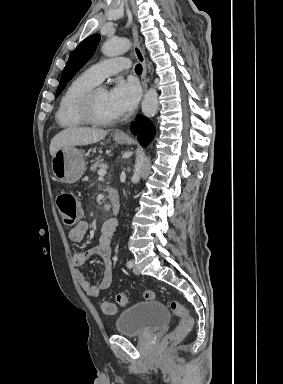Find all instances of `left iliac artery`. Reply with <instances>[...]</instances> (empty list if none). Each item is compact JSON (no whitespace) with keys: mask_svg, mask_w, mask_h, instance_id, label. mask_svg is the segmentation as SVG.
I'll return each instance as SVG.
<instances>
[{"mask_svg":"<svg viewBox=\"0 0 283 384\" xmlns=\"http://www.w3.org/2000/svg\"><path fill=\"white\" fill-rule=\"evenodd\" d=\"M127 267L128 268H132L133 267V262L130 260L126 263Z\"/></svg>","mask_w":283,"mask_h":384,"instance_id":"left-iliac-artery-1","label":"left iliac artery"}]
</instances>
